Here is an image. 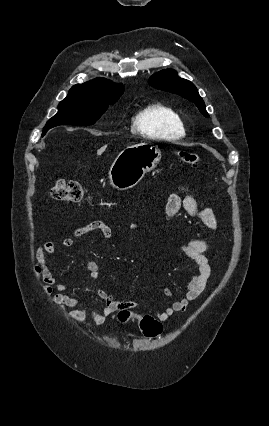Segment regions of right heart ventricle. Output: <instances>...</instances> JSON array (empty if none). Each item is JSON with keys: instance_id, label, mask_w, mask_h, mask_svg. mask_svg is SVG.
<instances>
[{"instance_id": "e07e8e85", "label": "right heart ventricle", "mask_w": 269, "mask_h": 426, "mask_svg": "<svg viewBox=\"0 0 269 426\" xmlns=\"http://www.w3.org/2000/svg\"><path fill=\"white\" fill-rule=\"evenodd\" d=\"M133 127L144 137L155 140L178 139L185 134L183 122L170 106L150 104L133 117Z\"/></svg>"}]
</instances>
